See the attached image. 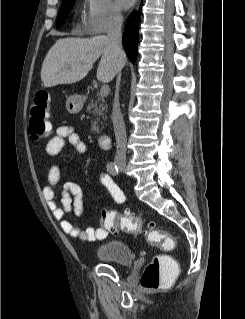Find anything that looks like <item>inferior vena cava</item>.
<instances>
[{"label":"inferior vena cava","mask_w":245,"mask_h":319,"mask_svg":"<svg viewBox=\"0 0 245 319\" xmlns=\"http://www.w3.org/2000/svg\"><path fill=\"white\" fill-rule=\"evenodd\" d=\"M122 25L123 17L121 13L114 12L110 18V25L108 28V39L110 41L111 50L118 61L122 60L125 56L122 49ZM120 72L116 79L115 99L112 110V122L116 138V161L122 162L126 160V128L119 106V85H120Z\"/></svg>","instance_id":"1"}]
</instances>
